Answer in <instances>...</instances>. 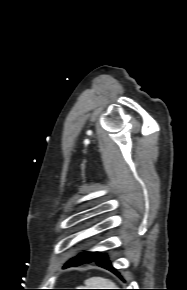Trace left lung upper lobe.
<instances>
[{
  "label": "left lung upper lobe",
  "mask_w": 187,
  "mask_h": 290,
  "mask_svg": "<svg viewBox=\"0 0 187 290\" xmlns=\"http://www.w3.org/2000/svg\"><path fill=\"white\" fill-rule=\"evenodd\" d=\"M97 254H99V252H85V253H81L78 256L72 258L71 260H69L66 264L74 262L75 261V266L81 265L86 261L91 260L92 258H94Z\"/></svg>",
  "instance_id": "left-lung-upper-lobe-1"
}]
</instances>
